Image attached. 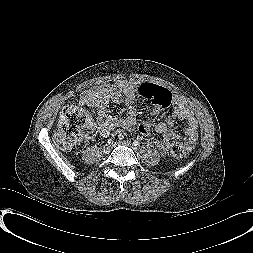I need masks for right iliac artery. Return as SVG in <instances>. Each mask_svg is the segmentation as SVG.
<instances>
[{
    "instance_id": "right-iliac-artery-1",
    "label": "right iliac artery",
    "mask_w": 253,
    "mask_h": 253,
    "mask_svg": "<svg viewBox=\"0 0 253 253\" xmlns=\"http://www.w3.org/2000/svg\"><path fill=\"white\" fill-rule=\"evenodd\" d=\"M107 143L108 144H113V140L112 139H108Z\"/></svg>"
}]
</instances>
